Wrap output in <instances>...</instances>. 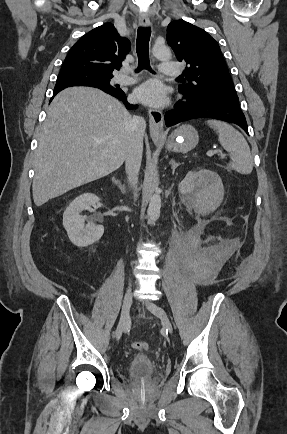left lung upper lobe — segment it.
<instances>
[{
	"label": "left lung upper lobe",
	"instance_id": "5c2ea615",
	"mask_svg": "<svg viewBox=\"0 0 287 434\" xmlns=\"http://www.w3.org/2000/svg\"><path fill=\"white\" fill-rule=\"evenodd\" d=\"M167 41L178 61L185 63L183 96L202 94L238 99L218 43L203 29L182 19L167 27Z\"/></svg>",
	"mask_w": 287,
	"mask_h": 434
}]
</instances>
